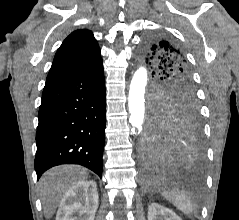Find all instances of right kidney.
<instances>
[{
    "label": "right kidney",
    "mask_w": 239,
    "mask_h": 220,
    "mask_svg": "<svg viewBox=\"0 0 239 220\" xmlns=\"http://www.w3.org/2000/svg\"><path fill=\"white\" fill-rule=\"evenodd\" d=\"M99 197L95 181H80L61 200L56 220H94Z\"/></svg>",
    "instance_id": "obj_1"
}]
</instances>
